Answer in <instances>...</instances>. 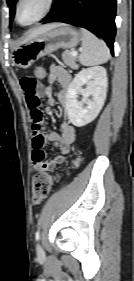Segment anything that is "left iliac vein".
Returning a JSON list of instances; mask_svg holds the SVG:
<instances>
[{"label": "left iliac vein", "mask_w": 134, "mask_h": 281, "mask_svg": "<svg viewBox=\"0 0 134 281\" xmlns=\"http://www.w3.org/2000/svg\"><path fill=\"white\" fill-rule=\"evenodd\" d=\"M37 252H38V254H42L43 253V248H42V246L40 244H38V246H37Z\"/></svg>", "instance_id": "4c4485c4"}]
</instances>
